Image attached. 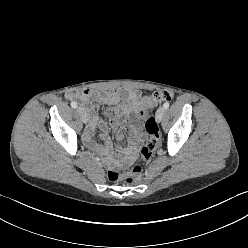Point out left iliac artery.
<instances>
[{"label":"left iliac artery","instance_id":"44dca946","mask_svg":"<svg viewBox=\"0 0 248 248\" xmlns=\"http://www.w3.org/2000/svg\"><path fill=\"white\" fill-rule=\"evenodd\" d=\"M163 107H164L165 109H168V108H169V103H168V102L164 103V104H163Z\"/></svg>","mask_w":248,"mask_h":248}]
</instances>
